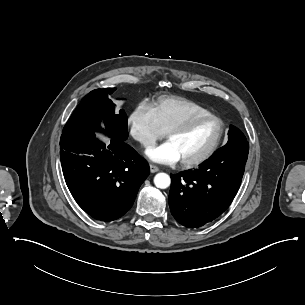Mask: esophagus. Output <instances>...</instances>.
Listing matches in <instances>:
<instances>
[{
  "label": "esophagus",
  "instance_id": "1",
  "mask_svg": "<svg viewBox=\"0 0 305 305\" xmlns=\"http://www.w3.org/2000/svg\"><path fill=\"white\" fill-rule=\"evenodd\" d=\"M149 167H150L151 173H156L159 171V168L156 165L150 164Z\"/></svg>",
  "mask_w": 305,
  "mask_h": 305
}]
</instances>
